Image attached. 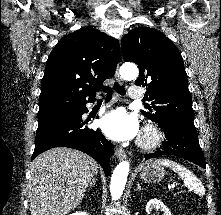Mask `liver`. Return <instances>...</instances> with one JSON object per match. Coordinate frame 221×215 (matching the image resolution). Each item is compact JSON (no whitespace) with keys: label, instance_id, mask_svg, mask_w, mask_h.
Instances as JSON below:
<instances>
[{"label":"liver","instance_id":"1","mask_svg":"<svg viewBox=\"0 0 221 215\" xmlns=\"http://www.w3.org/2000/svg\"><path fill=\"white\" fill-rule=\"evenodd\" d=\"M98 163L66 147L52 148L32 162L29 184L31 215H66L81 203Z\"/></svg>","mask_w":221,"mask_h":215}]
</instances>
